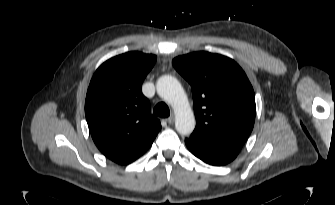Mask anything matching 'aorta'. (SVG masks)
I'll return each mask as SVG.
<instances>
[{
    "instance_id": "aorta-1",
    "label": "aorta",
    "mask_w": 335,
    "mask_h": 205,
    "mask_svg": "<svg viewBox=\"0 0 335 205\" xmlns=\"http://www.w3.org/2000/svg\"><path fill=\"white\" fill-rule=\"evenodd\" d=\"M156 89L174 110L177 132L185 136L191 134L195 128V117L180 82L173 76L165 75L157 80Z\"/></svg>"
}]
</instances>
